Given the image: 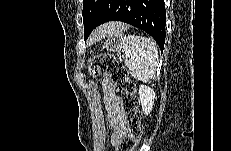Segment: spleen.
<instances>
[{
  "instance_id": "3e777b00",
  "label": "spleen",
  "mask_w": 231,
  "mask_h": 151,
  "mask_svg": "<svg viewBox=\"0 0 231 151\" xmlns=\"http://www.w3.org/2000/svg\"><path fill=\"white\" fill-rule=\"evenodd\" d=\"M125 64L134 78L151 80L158 66V49L149 37L128 35L124 42Z\"/></svg>"
}]
</instances>
